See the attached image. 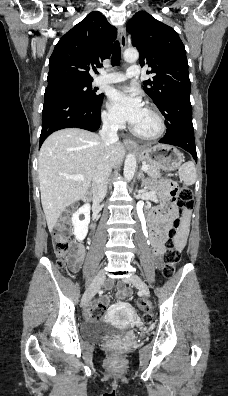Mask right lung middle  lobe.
<instances>
[{
    "label": "right lung middle lobe",
    "instance_id": "right-lung-middle-lobe-1",
    "mask_svg": "<svg viewBox=\"0 0 228 396\" xmlns=\"http://www.w3.org/2000/svg\"><path fill=\"white\" fill-rule=\"evenodd\" d=\"M51 91H62L70 93L86 103L99 102L103 98V94H96V89H92L91 82H64L47 87L45 93Z\"/></svg>",
    "mask_w": 228,
    "mask_h": 396
}]
</instances>
